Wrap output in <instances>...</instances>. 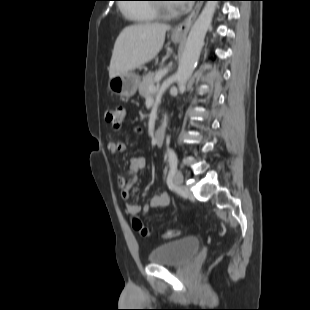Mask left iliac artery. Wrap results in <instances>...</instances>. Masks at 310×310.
Segmentation results:
<instances>
[{"label":"left iliac artery","instance_id":"44dca946","mask_svg":"<svg viewBox=\"0 0 310 310\" xmlns=\"http://www.w3.org/2000/svg\"><path fill=\"white\" fill-rule=\"evenodd\" d=\"M168 161H169V165H170V172L172 174H174V172H175V170L177 168L178 160H177L176 153L172 149H170L168 151Z\"/></svg>","mask_w":310,"mask_h":310}]
</instances>
